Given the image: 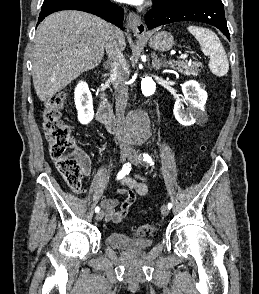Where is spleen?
I'll return each mask as SVG.
<instances>
[{
	"label": "spleen",
	"instance_id": "spleen-1",
	"mask_svg": "<svg viewBox=\"0 0 259 294\" xmlns=\"http://www.w3.org/2000/svg\"><path fill=\"white\" fill-rule=\"evenodd\" d=\"M187 30L198 40L202 52L210 57L209 68L218 76H225L229 70V62L224 47L218 36L210 29L189 26Z\"/></svg>",
	"mask_w": 259,
	"mask_h": 294
}]
</instances>
